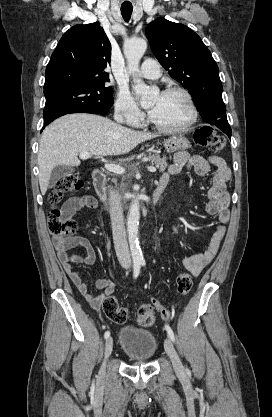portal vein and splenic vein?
<instances>
[{"instance_id": "portal-vein-and-splenic-vein-1", "label": "portal vein and splenic vein", "mask_w": 272, "mask_h": 417, "mask_svg": "<svg viewBox=\"0 0 272 417\" xmlns=\"http://www.w3.org/2000/svg\"><path fill=\"white\" fill-rule=\"evenodd\" d=\"M91 156V154L89 152H81L79 157L83 160L88 159ZM105 168L115 174H124L125 173V169L120 166V165H116V164H105ZM148 170L150 172H156V168L155 167H148Z\"/></svg>"}]
</instances>
